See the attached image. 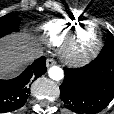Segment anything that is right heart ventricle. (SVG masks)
Here are the masks:
<instances>
[{
	"label": "right heart ventricle",
	"mask_w": 114,
	"mask_h": 114,
	"mask_svg": "<svg viewBox=\"0 0 114 114\" xmlns=\"http://www.w3.org/2000/svg\"><path fill=\"white\" fill-rule=\"evenodd\" d=\"M78 23L74 18L53 19L40 27L41 38L52 46L63 43L69 31Z\"/></svg>",
	"instance_id": "obj_1"
}]
</instances>
